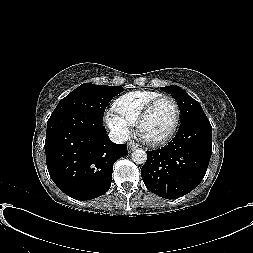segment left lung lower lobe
Listing matches in <instances>:
<instances>
[{
	"label": "left lung lower lobe",
	"instance_id": "left-lung-lower-lobe-1",
	"mask_svg": "<svg viewBox=\"0 0 253 253\" xmlns=\"http://www.w3.org/2000/svg\"><path fill=\"white\" fill-rule=\"evenodd\" d=\"M212 154V127L207 117H195L180 124L171 142L147 151L141 168L145 186L166 199L183 196L196 188L205 176Z\"/></svg>",
	"mask_w": 253,
	"mask_h": 253
}]
</instances>
